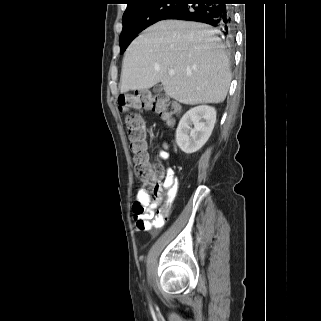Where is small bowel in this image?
Instances as JSON below:
<instances>
[{
	"label": "small bowel",
	"mask_w": 321,
	"mask_h": 321,
	"mask_svg": "<svg viewBox=\"0 0 321 321\" xmlns=\"http://www.w3.org/2000/svg\"><path fill=\"white\" fill-rule=\"evenodd\" d=\"M158 158L160 161H167L169 159L166 144H164L163 149L158 152ZM158 183H161L162 189L165 191L164 206L171 208L178 192V179L171 167H167L166 169L161 167ZM135 198L136 201L133 205V212L136 228L140 231H149L152 235H157L159 230L164 226L166 218L159 213L154 215L152 210L160 205L162 197L152 200L150 193L144 187H141L136 191ZM136 204L141 205L144 208V212H136L134 209Z\"/></svg>",
	"instance_id": "c3829d8e"
}]
</instances>
